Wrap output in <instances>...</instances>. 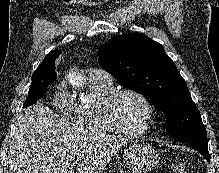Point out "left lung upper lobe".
Returning <instances> with one entry per match:
<instances>
[{"label":"left lung upper lobe","instance_id":"5c2ea615","mask_svg":"<svg viewBox=\"0 0 219 173\" xmlns=\"http://www.w3.org/2000/svg\"><path fill=\"white\" fill-rule=\"evenodd\" d=\"M98 51L102 69L124 87L143 94L165 114V128L170 137L208 146L200 112L161 44L132 33L111 38Z\"/></svg>","mask_w":219,"mask_h":173}]
</instances>
